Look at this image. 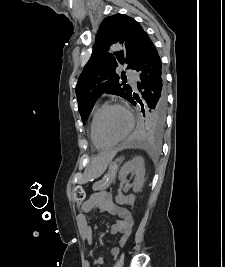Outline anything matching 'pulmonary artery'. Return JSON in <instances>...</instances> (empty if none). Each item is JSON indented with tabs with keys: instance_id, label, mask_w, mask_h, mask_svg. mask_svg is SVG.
Returning <instances> with one entry per match:
<instances>
[{
	"instance_id": "1",
	"label": "pulmonary artery",
	"mask_w": 225,
	"mask_h": 267,
	"mask_svg": "<svg viewBox=\"0 0 225 267\" xmlns=\"http://www.w3.org/2000/svg\"><path fill=\"white\" fill-rule=\"evenodd\" d=\"M126 75L129 78L132 86L136 88V81H137V73L131 69L126 71Z\"/></svg>"
}]
</instances>
